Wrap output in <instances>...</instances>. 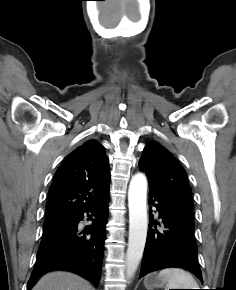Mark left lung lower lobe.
<instances>
[{
    "label": "left lung lower lobe",
    "instance_id": "0a47b994",
    "mask_svg": "<svg viewBox=\"0 0 236 290\" xmlns=\"http://www.w3.org/2000/svg\"><path fill=\"white\" fill-rule=\"evenodd\" d=\"M149 199L150 209L152 206L157 208L164 229L151 228L160 223L154 221L150 211V227L139 278L163 268L181 267L191 271L202 281L193 216L172 199L153 190L149 191Z\"/></svg>",
    "mask_w": 236,
    "mask_h": 290
}]
</instances>
